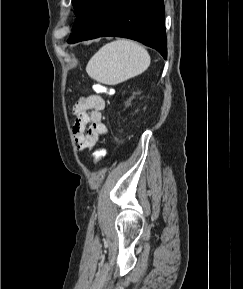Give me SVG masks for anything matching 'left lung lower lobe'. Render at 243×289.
Segmentation results:
<instances>
[{
  "mask_svg": "<svg viewBox=\"0 0 243 289\" xmlns=\"http://www.w3.org/2000/svg\"><path fill=\"white\" fill-rule=\"evenodd\" d=\"M102 36L142 42L166 59L163 0H89L74 23L68 43Z\"/></svg>",
  "mask_w": 243,
  "mask_h": 289,
  "instance_id": "left-lung-lower-lobe-1",
  "label": "left lung lower lobe"
}]
</instances>
